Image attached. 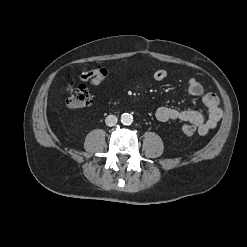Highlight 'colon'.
Segmentation results:
<instances>
[{"instance_id":"obj_1","label":"colon","mask_w":247,"mask_h":247,"mask_svg":"<svg viewBox=\"0 0 247 247\" xmlns=\"http://www.w3.org/2000/svg\"><path fill=\"white\" fill-rule=\"evenodd\" d=\"M107 79V74L98 71L89 80L92 85H98ZM92 102L91 95L85 85H79L70 90L69 96L65 100V104L69 108H81L89 106ZM196 127L192 124H185L182 127V132L185 135L191 136L195 133Z\"/></svg>"}]
</instances>
